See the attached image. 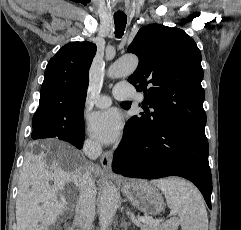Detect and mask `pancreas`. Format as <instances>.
Here are the masks:
<instances>
[{"mask_svg":"<svg viewBox=\"0 0 241 230\" xmlns=\"http://www.w3.org/2000/svg\"><path fill=\"white\" fill-rule=\"evenodd\" d=\"M177 227L178 221L175 219H170L157 225L142 224L140 226L141 230H177Z\"/></svg>","mask_w":241,"mask_h":230,"instance_id":"cf45deb5","label":"pancreas"}]
</instances>
